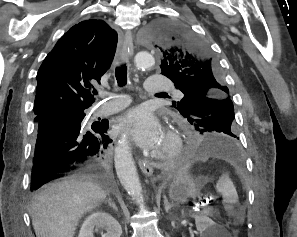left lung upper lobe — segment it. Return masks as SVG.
Returning <instances> with one entry per match:
<instances>
[{"mask_svg": "<svg viewBox=\"0 0 297 237\" xmlns=\"http://www.w3.org/2000/svg\"><path fill=\"white\" fill-rule=\"evenodd\" d=\"M151 38L161 59V74L184 94L173 106L197 131L218 133L237 142L229 89L207 43L168 24L155 26Z\"/></svg>", "mask_w": 297, "mask_h": 237, "instance_id": "left-lung-upper-lobe-1", "label": "left lung upper lobe"}]
</instances>
